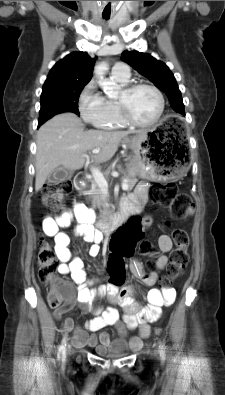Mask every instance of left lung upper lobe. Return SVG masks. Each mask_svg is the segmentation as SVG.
<instances>
[{
	"label": "left lung upper lobe",
	"mask_w": 225,
	"mask_h": 395,
	"mask_svg": "<svg viewBox=\"0 0 225 395\" xmlns=\"http://www.w3.org/2000/svg\"><path fill=\"white\" fill-rule=\"evenodd\" d=\"M122 60L130 64L136 71L147 77L154 85L163 91L176 112L185 115L181 92L176 79L169 68L150 54L138 51H124Z\"/></svg>",
	"instance_id": "obj_1"
}]
</instances>
